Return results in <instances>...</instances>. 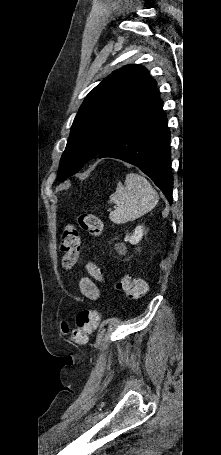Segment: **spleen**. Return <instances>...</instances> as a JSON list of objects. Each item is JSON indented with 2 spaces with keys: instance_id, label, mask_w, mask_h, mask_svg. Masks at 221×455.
<instances>
[{
  "instance_id": "obj_1",
  "label": "spleen",
  "mask_w": 221,
  "mask_h": 455,
  "mask_svg": "<svg viewBox=\"0 0 221 455\" xmlns=\"http://www.w3.org/2000/svg\"><path fill=\"white\" fill-rule=\"evenodd\" d=\"M158 193L149 181L136 173L126 176L125 185L117 184L116 192L109 197V203L117 207L109 214L115 224H124L136 220L150 212L158 203Z\"/></svg>"
}]
</instances>
